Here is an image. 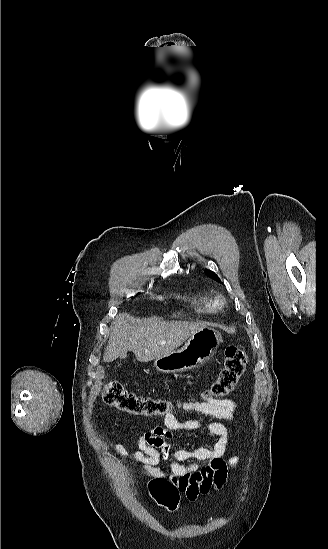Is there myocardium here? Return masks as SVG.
Segmentation results:
<instances>
[{
    "instance_id": "obj_1",
    "label": "myocardium",
    "mask_w": 328,
    "mask_h": 549,
    "mask_svg": "<svg viewBox=\"0 0 328 549\" xmlns=\"http://www.w3.org/2000/svg\"><path fill=\"white\" fill-rule=\"evenodd\" d=\"M215 310H220L221 308H223V305H224V300L222 297H218L215 301Z\"/></svg>"
}]
</instances>
